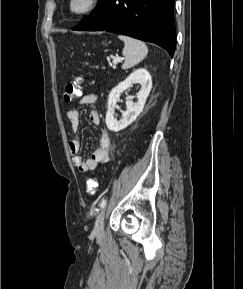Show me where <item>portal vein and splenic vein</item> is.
I'll use <instances>...</instances> for the list:
<instances>
[{"label": "portal vein and splenic vein", "mask_w": 243, "mask_h": 289, "mask_svg": "<svg viewBox=\"0 0 243 289\" xmlns=\"http://www.w3.org/2000/svg\"><path fill=\"white\" fill-rule=\"evenodd\" d=\"M123 59L122 58H115L113 60V64L116 65L118 62H121Z\"/></svg>", "instance_id": "portal-vein-and-splenic-vein-1"}]
</instances>
